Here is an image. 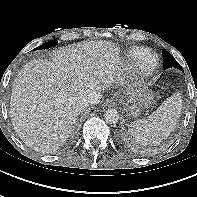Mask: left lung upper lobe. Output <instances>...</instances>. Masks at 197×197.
Returning a JSON list of instances; mask_svg holds the SVG:
<instances>
[{
    "label": "left lung upper lobe",
    "instance_id": "obj_1",
    "mask_svg": "<svg viewBox=\"0 0 197 197\" xmlns=\"http://www.w3.org/2000/svg\"><path fill=\"white\" fill-rule=\"evenodd\" d=\"M163 54V69H168V68H177L180 69L184 72V70L182 69V67L180 66V64L174 59L173 56H171V54H169L167 51L163 50L162 52Z\"/></svg>",
    "mask_w": 197,
    "mask_h": 197
}]
</instances>
